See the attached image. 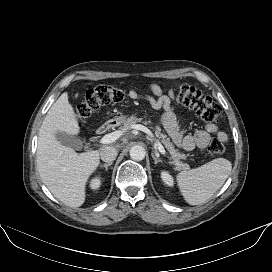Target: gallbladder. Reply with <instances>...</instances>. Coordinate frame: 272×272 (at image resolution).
Segmentation results:
<instances>
[{
  "label": "gallbladder",
  "instance_id": "bac80fb5",
  "mask_svg": "<svg viewBox=\"0 0 272 272\" xmlns=\"http://www.w3.org/2000/svg\"><path fill=\"white\" fill-rule=\"evenodd\" d=\"M56 139L63 145L72 147L75 149H80L83 147L84 141L80 140L79 138H76L72 135H68L62 132L56 133Z\"/></svg>",
  "mask_w": 272,
  "mask_h": 272
}]
</instances>
